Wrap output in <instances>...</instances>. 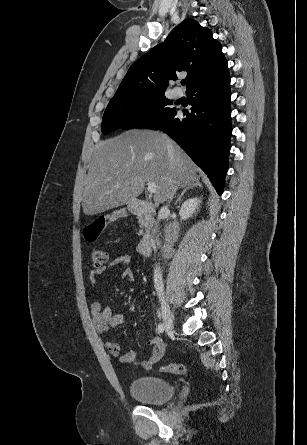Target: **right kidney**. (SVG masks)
<instances>
[{"mask_svg":"<svg viewBox=\"0 0 307 445\" xmlns=\"http://www.w3.org/2000/svg\"><path fill=\"white\" fill-rule=\"evenodd\" d=\"M199 202H201V200L200 198H197V196L196 198H187L179 210L181 218L186 220L188 216H192L193 212H195L196 208H198Z\"/></svg>","mask_w":307,"mask_h":445,"instance_id":"ca27d5eb","label":"right kidney"}]
</instances>
